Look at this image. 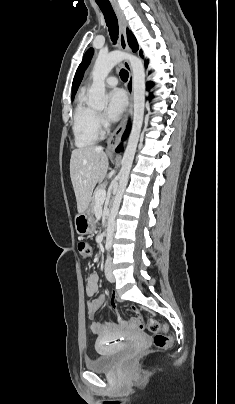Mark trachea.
I'll use <instances>...</instances> for the list:
<instances>
[{
    "label": "trachea",
    "mask_w": 235,
    "mask_h": 404,
    "mask_svg": "<svg viewBox=\"0 0 235 404\" xmlns=\"http://www.w3.org/2000/svg\"><path fill=\"white\" fill-rule=\"evenodd\" d=\"M98 6L104 14L111 40L115 44L118 39V21H117V17L115 15V13L113 11V8H112L111 4H98ZM120 77H121L122 81L126 82L129 77L128 71L125 69H122L120 71Z\"/></svg>",
    "instance_id": "1"
}]
</instances>
